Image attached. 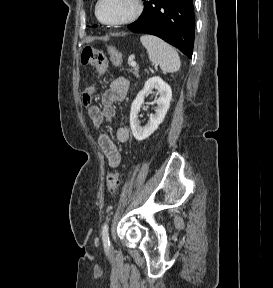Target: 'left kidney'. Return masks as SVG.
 Segmentation results:
<instances>
[{
  "label": "left kidney",
  "instance_id": "left-kidney-1",
  "mask_svg": "<svg viewBox=\"0 0 273 288\" xmlns=\"http://www.w3.org/2000/svg\"><path fill=\"white\" fill-rule=\"evenodd\" d=\"M153 89L156 90V94L159 96L155 100L157 107L155 109V113L150 115L149 122L142 127L138 120L140 107L144 102L145 95ZM171 98V87L160 77L155 76L145 81L142 90L139 91L135 100L133 101L130 111V127L136 140L143 141L157 130L159 125L163 122L170 107Z\"/></svg>",
  "mask_w": 273,
  "mask_h": 288
}]
</instances>
